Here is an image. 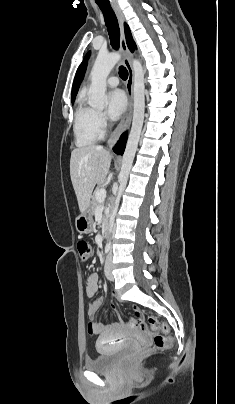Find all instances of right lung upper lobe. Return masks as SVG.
<instances>
[{"instance_id":"obj_1","label":"right lung upper lobe","mask_w":235,"mask_h":404,"mask_svg":"<svg viewBox=\"0 0 235 404\" xmlns=\"http://www.w3.org/2000/svg\"><path fill=\"white\" fill-rule=\"evenodd\" d=\"M124 29H125V37H126L127 46L130 49V51L133 52L134 51V46H133L132 35H131L130 29H129L127 24L124 25ZM85 70H86V66L83 67L80 70L77 78L74 81L73 89H72V95H71V100L72 101H74V99L76 97V94L78 92V89L80 87V84H81V82H82V80L84 78Z\"/></svg>"}]
</instances>
